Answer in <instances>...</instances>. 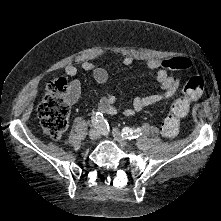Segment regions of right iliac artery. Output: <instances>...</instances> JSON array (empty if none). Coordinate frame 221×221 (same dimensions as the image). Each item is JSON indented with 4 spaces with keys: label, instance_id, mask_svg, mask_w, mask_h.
<instances>
[{
    "label": "right iliac artery",
    "instance_id": "82829eb1",
    "mask_svg": "<svg viewBox=\"0 0 221 221\" xmlns=\"http://www.w3.org/2000/svg\"><path fill=\"white\" fill-rule=\"evenodd\" d=\"M92 123L95 128H106L108 126V124L106 123V120H104L103 118V114L99 112L93 115Z\"/></svg>",
    "mask_w": 221,
    "mask_h": 221
}]
</instances>
